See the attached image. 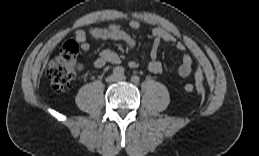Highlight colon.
Wrapping results in <instances>:
<instances>
[{
	"mask_svg": "<svg viewBox=\"0 0 259 156\" xmlns=\"http://www.w3.org/2000/svg\"><path fill=\"white\" fill-rule=\"evenodd\" d=\"M78 53L79 46L77 43L69 41L65 43L59 53L49 61L46 73L56 90H65L81 70ZM194 88V84L191 82L184 85V90L187 93H192Z\"/></svg>",
	"mask_w": 259,
	"mask_h": 156,
	"instance_id": "5ec220e1",
	"label": "colon"
}]
</instances>
